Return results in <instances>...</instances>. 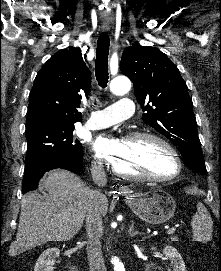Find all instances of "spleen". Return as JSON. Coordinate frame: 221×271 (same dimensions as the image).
<instances>
[{
	"mask_svg": "<svg viewBox=\"0 0 221 271\" xmlns=\"http://www.w3.org/2000/svg\"><path fill=\"white\" fill-rule=\"evenodd\" d=\"M191 225L193 229V241H210L213 231V221L207 207L203 203H197V211L192 215Z\"/></svg>",
	"mask_w": 221,
	"mask_h": 271,
	"instance_id": "spleen-1",
	"label": "spleen"
}]
</instances>
